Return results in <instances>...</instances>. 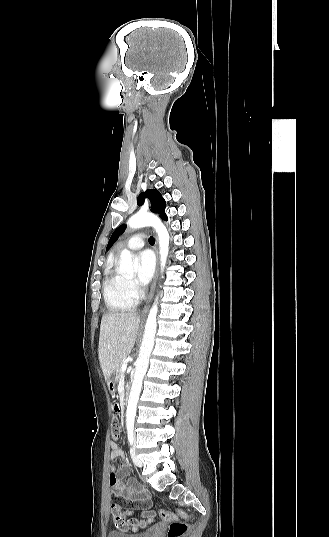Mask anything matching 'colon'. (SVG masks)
<instances>
[{"mask_svg": "<svg viewBox=\"0 0 329 537\" xmlns=\"http://www.w3.org/2000/svg\"><path fill=\"white\" fill-rule=\"evenodd\" d=\"M112 437L114 439H119L121 436V428L117 418L112 421ZM111 513L114 518L113 526L116 529H120L121 533L126 534L128 531H131L129 526H141L145 525L144 522L139 523L136 520H128L123 516L122 506L111 504ZM159 517L162 521L169 524L168 527V537H184L188 531V524L186 522V513L177 509L175 511L161 510L159 512Z\"/></svg>", "mask_w": 329, "mask_h": 537, "instance_id": "1", "label": "colon"}]
</instances>
